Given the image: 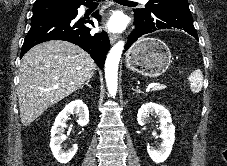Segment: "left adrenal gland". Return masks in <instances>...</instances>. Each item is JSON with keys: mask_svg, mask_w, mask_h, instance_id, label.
Returning a JSON list of instances; mask_svg holds the SVG:
<instances>
[{"mask_svg": "<svg viewBox=\"0 0 227 166\" xmlns=\"http://www.w3.org/2000/svg\"><path fill=\"white\" fill-rule=\"evenodd\" d=\"M132 90H133V91H135L136 93H138V92H139V91H137V90H135V89H133V88H132Z\"/></svg>", "mask_w": 227, "mask_h": 166, "instance_id": "left-adrenal-gland-1", "label": "left adrenal gland"}]
</instances>
